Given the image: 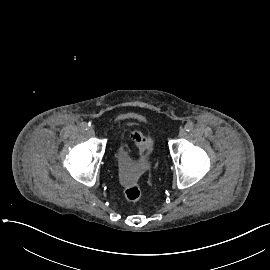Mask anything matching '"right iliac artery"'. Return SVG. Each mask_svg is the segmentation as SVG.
Masks as SVG:
<instances>
[{
    "label": "right iliac artery",
    "instance_id": "82829eb1",
    "mask_svg": "<svg viewBox=\"0 0 270 270\" xmlns=\"http://www.w3.org/2000/svg\"><path fill=\"white\" fill-rule=\"evenodd\" d=\"M80 126L83 130H88L89 128V125L86 122H82Z\"/></svg>",
    "mask_w": 270,
    "mask_h": 270
}]
</instances>
